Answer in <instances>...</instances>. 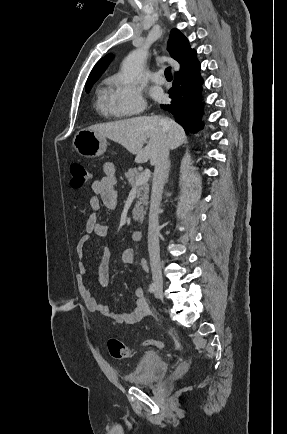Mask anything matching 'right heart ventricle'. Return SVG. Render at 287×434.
I'll list each match as a JSON object with an SVG mask.
<instances>
[{
	"label": "right heart ventricle",
	"mask_w": 287,
	"mask_h": 434,
	"mask_svg": "<svg viewBox=\"0 0 287 434\" xmlns=\"http://www.w3.org/2000/svg\"><path fill=\"white\" fill-rule=\"evenodd\" d=\"M110 85H111V79H107L99 89L97 106L98 109L106 115L120 116L113 110L110 103V93H111Z\"/></svg>",
	"instance_id": "e07e8e85"
}]
</instances>
